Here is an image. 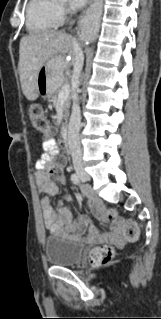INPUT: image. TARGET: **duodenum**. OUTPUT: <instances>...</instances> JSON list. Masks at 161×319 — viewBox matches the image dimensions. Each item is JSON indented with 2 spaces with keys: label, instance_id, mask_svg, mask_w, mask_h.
Listing matches in <instances>:
<instances>
[{
  "label": "duodenum",
  "instance_id": "duodenum-1",
  "mask_svg": "<svg viewBox=\"0 0 161 319\" xmlns=\"http://www.w3.org/2000/svg\"><path fill=\"white\" fill-rule=\"evenodd\" d=\"M69 131H70V126L68 123H64L61 127V139L64 143H67L69 140Z\"/></svg>",
  "mask_w": 161,
  "mask_h": 319
}]
</instances>
